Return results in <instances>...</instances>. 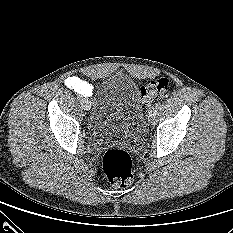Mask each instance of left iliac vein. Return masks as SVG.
<instances>
[{"mask_svg":"<svg viewBox=\"0 0 233 233\" xmlns=\"http://www.w3.org/2000/svg\"><path fill=\"white\" fill-rule=\"evenodd\" d=\"M157 111H158V108L156 106H152L151 108H149V110H148L149 121L152 122L155 119Z\"/></svg>","mask_w":233,"mask_h":233,"instance_id":"4c4485c4","label":"left iliac vein"}]
</instances>
